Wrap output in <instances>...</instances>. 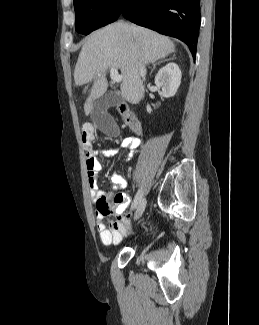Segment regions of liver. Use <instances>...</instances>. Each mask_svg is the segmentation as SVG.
<instances>
[{
	"mask_svg": "<svg viewBox=\"0 0 259 325\" xmlns=\"http://www.w3.org/2000/svg\"><path fill=\"white\" fill-rule=\"evenodd\" d=\"M134 28L133 30L128 23L119 21L87 37L74 70L77 86L96 78L84 104L86 115L92 111L93 101L107 91L108 69H120L123 76L121 95L128 102L137 104L144 97L139 62L144 65L155 63L175 51V45L168 37L144 27Z\"/></svg>",
	"mask_w": 259,
	"mask_h": 325,
	"instance_id": "obj_1",
	"label": "liver"
}]
</instances>
